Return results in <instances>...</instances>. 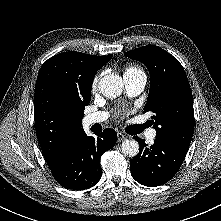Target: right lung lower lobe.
Segmentation results:
<instances>
[{"label":"right lung lower lobe","instance_id":"98d812e1","mask_svg":"<svg viewBox=\"0 0 221 221\" xmlns=\"http://www.w3.org/2000/svg\"><path fill=\"white\" fill-rule=\"evenodd\" d=\"M116 139V132L111 128L105 129L97 138L81 132L59 160L49 165L55 180L66 189L93 187L102 175L100 157L114 147Z\"/></svg>","mask_w":221,"mask_h":221}]
</instances>
